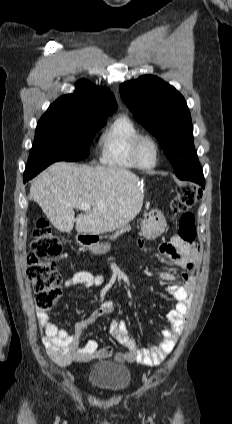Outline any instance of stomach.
Masks as SVG:
<instances>
[{
	"instance_id": "stomach-1",
	"label": "stomach",
	"mask_w": 232,
	"mask_h": 424,
	"mask_svg": "<svg viewBox=\"0 0 232 424\" xmlns=\"http://www.w3.org/2000/svg\"><path fill=\"white\" fill-rule=\"evenodd\" d=\"M167 226L164 215L156 211V214H149L141 224V233L148 240H153L161 235ZM79 245L85 247L94 254H104L110 249L108 243H100L98 237H92L85 234L76 237Z\"/></svg>"
}]
</instances>
